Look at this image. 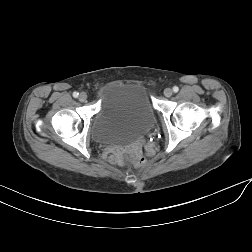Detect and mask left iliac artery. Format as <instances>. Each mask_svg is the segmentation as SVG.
Listing matches in <instances>:
<instances>
[{"instance_id": "1", "label": "left iliac artery", "mask_w": 252, "mask_h": 252, "mask_svg": "<svg viewBox=\"0 0 252 252\" xmlns=\"http://www.w3.org/2000/svg\"><path fill=\"white\" fill-rule=\"evenodd\" d=\"M173 91L176 93V92L179 91V88H178L177 86H174V87H173Z\"/></svg>"}]
</instances>
